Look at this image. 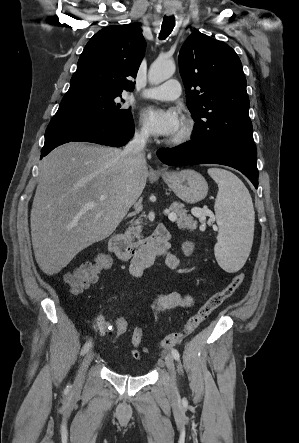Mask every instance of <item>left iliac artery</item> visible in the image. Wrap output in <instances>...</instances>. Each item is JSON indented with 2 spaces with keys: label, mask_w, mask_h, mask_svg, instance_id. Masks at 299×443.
Segmentation results:
<instances>
[{
  "label": "left iliac artery",
  "mask_w": 299,
  "mask_h": 443,
  "mask_svg": "<svg viewBox=\"0 0 299 443\" xmlns=\"http://www.w3.org/2000/svg\"><path fill=\"white\" fill-rule=\"evenodd\" d=\"M171 353H172V356H173L176 360H179V358H180V354H179L178 350H176V349H172Z\"/></svg>",
  "instance_id": "44dca946"
}]
</instances>
